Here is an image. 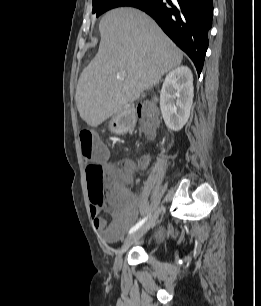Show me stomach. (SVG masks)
<instances>
[{"instance_id": "obj_1", "label": "stomach", "mask_w": 261, "mask_h": 306, "mask_svg": "<svg viewBox=\"0 0 261 306\" xmlns=\"http://www.w3.org/2000/svg\"><path fill=\"white\" fill-rule=\"evenodd\" d=\"M113 123H115L113 130L119 134H122L133 129L135 125V118L130 112L123 111L116 115V117L113 119Z\"/></svg>"}]
</instances>
